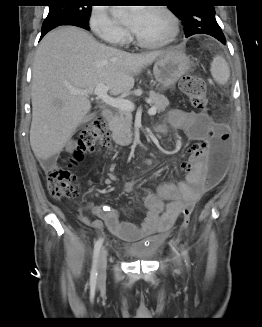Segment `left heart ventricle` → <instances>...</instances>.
Instances as JSON below:
<instances>
[{
	"label": "left heart ventricle",
	"instance_id": "left-heart-ventricle-1",
	"mask_svg": "<svg viewBox=\"0 0 262 327\" xmlns=\"http://www.w3.org/2000/svg\"><path fill=\"white\" fill-rule=\"evenodd\" d=\"M133 30L146 40L160 41L168 37L171 27L163 14L148 9Z\"/></svg>",
	"mask_w": 262,
	"mask_h": 327
}]
</instances>
